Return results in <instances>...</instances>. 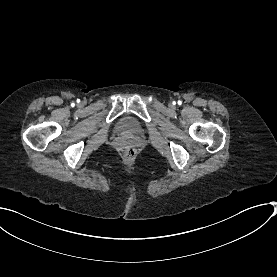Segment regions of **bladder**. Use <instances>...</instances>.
<instances>
[{"instance_id":"bladder-1","label":"bladder","mask_w":277,"mask_h":277,"mask_svg":"<svg viewBox=\"0 0 277 277\" xmlns=\"http://www.w3.org/2000/svg\"><path fill=\"white\" fill-rule=\"evenodd\" d=\"M118 132L122 135L139 136L143 133V129L135 116L126 114L119 118Z\"/></svg>"}]
</instances>
